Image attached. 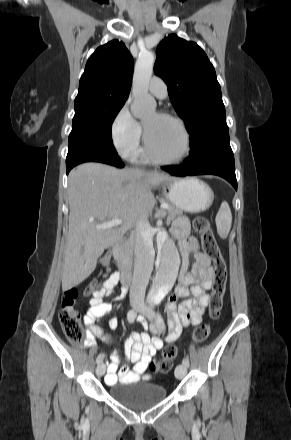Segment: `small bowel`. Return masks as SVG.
I'll return each mask as SVG.
<instances>
[{"mask_svg": "<svg viewBox=\"0 0 291 440\" xmlns=\"http://www.w3.org/2000/svg\"><path fill=\"white\" fill-rule=\"evenodd\" d=\"M170 233L177 240L181 254L179 281L165 305L172 328L168 340H176L181 333L182 326L201 324L210 301L207 291L212 284L213 270L210 258L200 251L197 242L190 236L187 220H177ZM191 253L194 255L195 262L189 270ZM119 280V273H114L106 280L105 289L110 292ZM126 290L127 287L123 284L121 294L116 299L122 298ZM100 293L95 294L91 299L90 308L83 318L86 343L89 345L94 344L101 336L98 323L112 310V303L105 301ZM179 298L186 299L178 304ZM138 321L145 324L143 317H139ZM116 326L117 320L112 319L110 327L116 328ZM162 347L163 342L157 337H150L147 333L131 332L123 342L124 357L118 350H114L110 355V363L105 376L106 384L114 385L117 382L135 380L145 375L146 371H156L154 356ZM129 361L134 363L132 370L128 367Z\"/></svg>", "mask_w": 291, "mask_h": 440, "instance_id": "c3829d8e", "label": "small bowel"}]
</instances>
